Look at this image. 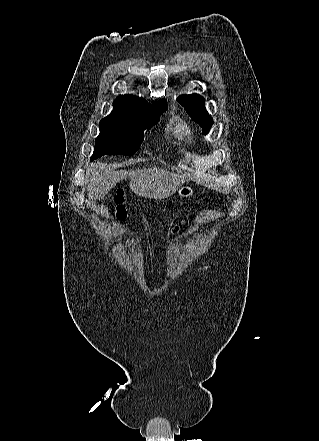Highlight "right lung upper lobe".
<instances>
[{
  "mask_svg": "<svg viewBox=\"0 0 319 441\" xmlns=\"http://www.w3.org/2000/svg\"><path fill=\"white\" fill-rule=\"evenodd\" d=\"M166 106V101H158L153 105L147 103L142 98L134 95H121L114 101L113 111L140 110V109H159Z\"/></svg>",
  "mask_w": 319,
  "mask_h": 441,
  "instance_id": "obj_1",
  "label": "right lung upper lobe"
}]
</instances>
